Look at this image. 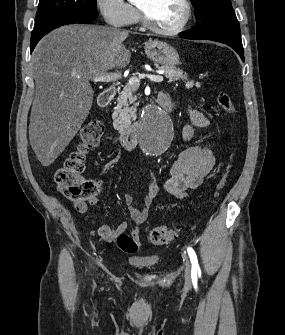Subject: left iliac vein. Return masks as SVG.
Returning <instances> with one entry per match:
<instances>
[{"instance_id": "obj_1", "label": "left iliac vein", "mask_w": 285, "mask_h": 335, "mask_svg": "<svg viewBox=\"0 0 285 335\" xmlns=\"http://www.w3.org/2000/svg\"><path fill=\"white\" fill-rule=\"evenodd\" d=\"M184 277H185L186 284L189 285L190 282H191V266H190L189 260L187 258H185Z\"/></svg>"}]
</instances>
